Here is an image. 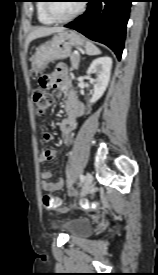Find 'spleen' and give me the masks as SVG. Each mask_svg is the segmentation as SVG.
Masks as SVG:
<instances>
[{
	"instance_id": "spleen-1",
	"label": "spleen",
	"mask_w": 158,
	"mask_h": 275,
	"mask_svg": "<svg viewBox=\"0 0 158 275\" xmlns=\"http://www.w3.org/2000/svg\"><path fill=\"white\" fill-rule=\"evenodd\" d=\"M85 50L88 55H98L101 53L100 49L95 46L91 41H87L85 45Z\"/></svg>"
}]
</instances>
